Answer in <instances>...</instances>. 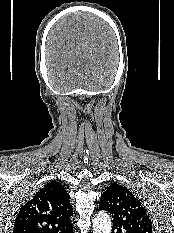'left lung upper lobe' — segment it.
Here are the masks:
<instances>
[{"label":"left lung upper lobe","mask_w":174,"mask_h":233,"mask_svg":"<svg viewBox=\"0 0 174 233\" xmlns=\"http://www.w3.org/2000/svg\"><path fill=\"white\" fill-rule=\"evenodd\" d=\"M99 209L109 211L113 226L126 233H152V222L145 209L124 186L111 184L100 198Z\"/></svg>","instance_id":"obj_1"}]
</instances>
